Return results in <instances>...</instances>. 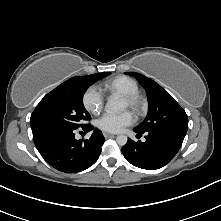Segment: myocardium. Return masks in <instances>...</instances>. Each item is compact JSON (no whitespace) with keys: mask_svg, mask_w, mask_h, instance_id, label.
Here are the masks:
<instances>
[{"mask_svg":"<svg viewBox=\"0 0 221 221\" xmlns=\"http://www.w3.org/2000/svg\"><path fill=\"white\" fill-rule=\"evenodd\" d=\"M123 99L126 101L128 107L136 113H140L146 104L145 98L139 92L125 95Z\"/></svg>","mask_w":221,"mask_h":221,"instance_id":"myocardium-1","label":"myocardium"}]
</instances>
